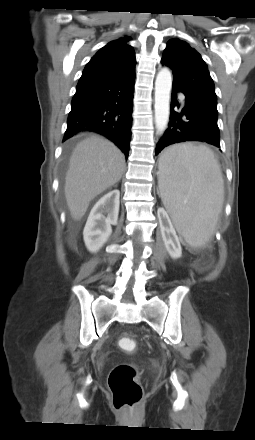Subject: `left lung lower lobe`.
I'll list each match as a JSON object with an SVG mask.
<instances>
[{
	"label": "left lung lower lobe",
	"mask_w": 255,
	"mask_h": 440,
	"mask_svg": "<svg viewBox=\"0 0 255 440\" xmlns=\"http://www.w3.org/2000/svg\"><path fill=\"white\" fill-rule=\"evenodd\" d=\"M177 91L182 92L173 85L171 99L174 101L171 102L169 127L157 144L156 155L171 144L185 141L206 142L220 148L217 108L191 100L185 95L184 108L180 113L175 112L174 107L179 108Z\"/></svg>",
	"instance_id": "0a47b994"
}]
</instances>
